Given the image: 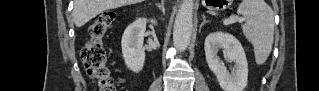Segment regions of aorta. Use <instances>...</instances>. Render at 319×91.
Masks as SVG:
<instances>
[{
	"mask_svg": "<svg viewBox=\"0 0 319 91\" xmlns=\"http://www.w3.org/2000/svg\"><path fill=\"white\" fill-rule=\"evenodd\" d=\"M193 0H183L173 27V43L177 50L184 51L190 44L193 27Z\"/></svg>",
	"mask_w": 319,
	"mask_h": 91,
	"instance_id": "obj_1",
	"label": "aorta"
}]
</instances>
